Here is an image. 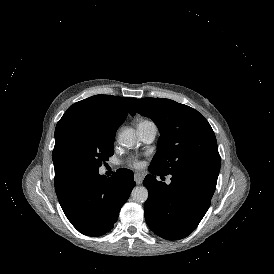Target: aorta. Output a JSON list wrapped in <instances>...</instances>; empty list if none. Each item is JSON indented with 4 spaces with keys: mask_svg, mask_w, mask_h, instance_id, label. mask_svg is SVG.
Here are the masks:
<instances>
[{
    "mask_svg": "<svg viewBox=\"0 0 274 274\" xmlns=\"http://www.w3.org/2000/svg\"><path fill=\"white\" fill-rule=\"evenodd\" d=\"M119 141L126 147H132L137 143V135L132 128L124 129L119 135ZM131 196L135 202L143 203L148 199L149 193L146 187L136 186L132 190Z\"/></svg>",
    "mask_w": 274,
    "mask_h": 274,
    "instance_id": "1",
    "label": "aorta"
}]
</instances>
